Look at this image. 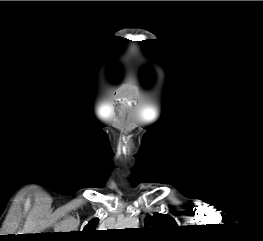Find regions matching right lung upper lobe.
Segmentation results:
<instances>
[{
  "label": "right lung upper lobe",
  "mask_w": 263,
  "mask_h": 241,
  "mask_svg": "<svg viewBox=\"0 0 263 241\" xmlns=\"http://www.w3.org/2000/svg\"><path fill=\"white\" fill-rule=\"evenodd\" d=\"M99 219L94 218L88 222V224L84 227L83 232H82V238L84 239H95L96 238V233L95 229L98 225Z\"/></svg>",
  "instance_id": "right-lung-upper-lobe-1"
}]
</instances>
